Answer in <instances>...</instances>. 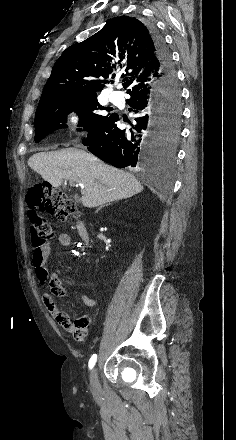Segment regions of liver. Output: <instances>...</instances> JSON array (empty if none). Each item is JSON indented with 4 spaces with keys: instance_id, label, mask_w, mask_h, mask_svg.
Instances as JSON below:
<instances>
[{
    "instance_id": "6515ba94",
    "label": "liver",
    "mask_w": 236,
    "mask_h": 440,
    "mask_svg": "<svg viewBox=\"0 0 236 440\" xmlns=\"http://www.w3.org/2000/svg\"><path fill=\"white\" fill-rule=\"evenodd\" d=\"M28 165L53 187L61 186L64 180L80 184L81 201L88 208L126 199L143 191L141 183L130 173L106 165L77 148L36 153L29 158Z\"/></svg>"
}]
</instances>
